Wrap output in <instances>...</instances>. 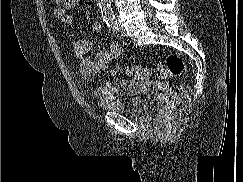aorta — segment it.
Returning a JSON list of instances; mask_svg holds the SVG:
<instances>
[{
	"label": "aorta",
	"mask_w": 243,
	"mask_h": 182,
	"mask_svg": "<svg viewBox=\"0 0 243 182\" xmlns=\"http://www.w3.org/2000/svg\"><path fill=\"white\" fill-rule=\"evenodd\" d=\"M97 2L104 20H114V14L111 8V0H97Z\"/></svg>",
	"instance_id": "762f6f07"
}]
</instances>
